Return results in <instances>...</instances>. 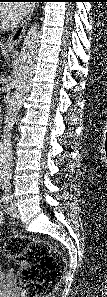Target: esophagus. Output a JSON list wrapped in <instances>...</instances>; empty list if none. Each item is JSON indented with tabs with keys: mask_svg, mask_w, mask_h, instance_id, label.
<instances>
[{
	"mask_svg": "<svg viewBox=\"0 0 107 297\" xmlns=\"http://www.w3.org/2000/svg\"><path fill=\"white\" fill-rule=\"evenodd\" d=\"M34 9H35V4H32L29 15L16 28V30L9 36L8 40L5 43L6 47L13 48L20 42V40L22 39V37H23V35H24L25 31H26L29 20H30L31 16L33 15Z\"/></svg>",
	"mask_w": 107,
	"mask_h": 297,
	"instance_id": "1",
	"label": "esophagus"
}]
</instances>
